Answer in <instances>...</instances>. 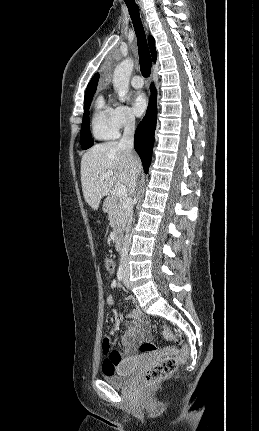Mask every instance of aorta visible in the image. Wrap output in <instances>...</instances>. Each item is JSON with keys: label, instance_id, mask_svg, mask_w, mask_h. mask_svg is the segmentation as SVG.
Here are the masks:
<instances>
[{"label": "aorta", "instance_id": "obj_1", "mask_svg": "<svg viewBox=\"0 0 259 431\" xmlns=\"http://www.w3.org/2000/svg\"><path fill=\"white\" fill-rule=\"evenodd\" d=\"M134 67L133 60L127 58L120 62L115 68L113 75V87L121 102L125 101L129 90V80Z\"/></svg>", "mask_w": 259, "mask_h": 431}]
</instances>
